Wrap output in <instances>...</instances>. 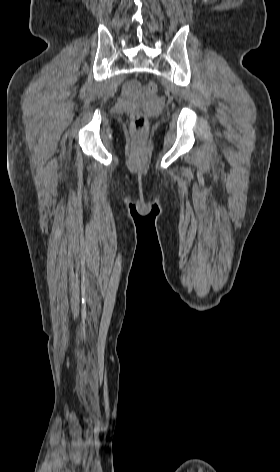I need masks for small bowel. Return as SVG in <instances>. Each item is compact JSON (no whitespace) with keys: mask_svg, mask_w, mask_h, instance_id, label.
Wrapping results in <instances>:
<instances>
[{"mask_svg":"<svg viewBox=\"0 0 280 472\" xmlns=\"http://www.w3.org/2000/svg\"><path fill=\"white\" fill-rule=\"evenodd\" d=\"M139 90V85L135 82H129L126 84L124 91L126 94H132Z\"/></svg>","mask_w":280,"mask_h":472,"instance_id":"c3829d8e","label":"small bowel"}]
</instances>
